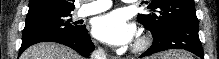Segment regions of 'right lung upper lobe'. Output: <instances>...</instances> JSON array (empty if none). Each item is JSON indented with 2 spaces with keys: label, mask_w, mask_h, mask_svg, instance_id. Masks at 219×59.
<instances>
[{
  "label": "right lung upper lobe",
  "mask_w": 219,
  "mask_h": 59,
  "mask_svg": "<svg viewBox=\"0 0 219 59\" xmlns=\"http://www.w3.org/2000/svg\"><path fill=\"white\" fill-rule=\"evenodd\" d=\"M74 1L73 0H30L28 13L37 10H59L65 12H72L75 8Z\"/></svg>",
  "instance_id": "right-lung-upper-lobe-1"
}]
</instances>
